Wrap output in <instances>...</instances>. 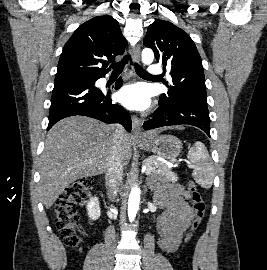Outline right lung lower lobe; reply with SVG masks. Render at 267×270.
<instances>
[{
	"label": "right lung lower lobe",
	"mask_w": 267,
	"mask_h": 270,
	"mask_svg": "<svg viewBox=\"0 0 267 270\" xmlns=\"http://www.w3.org/2000/svg\"><path fill=\"white\" fill-rule=\"evenodd\" d=\"M105 75L91 76L87 82L54 83L49 110V130L59 120L84 115L105 123H120L127 131L131 130V118L120 105L113 104L110 91L103 93L94 87V83ZM122 86L121 78L115 83V89Z\"/></svg>",
	"instance_id": "obj_1"
}]
</instances>
